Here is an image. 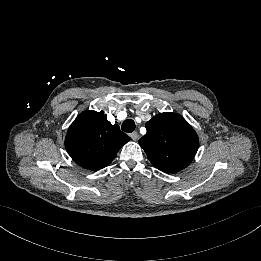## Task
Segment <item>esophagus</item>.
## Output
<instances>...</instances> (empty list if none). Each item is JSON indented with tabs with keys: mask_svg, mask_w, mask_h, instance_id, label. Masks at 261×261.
<instances>
[{
	"mask_svg": "<svg viewBox=\"0 0 261 261\" xmlns=\"http://www.w3.org/2000/svg\"><path fill=\"white\" fill-rule=\"evenodd\" d=\"M130 137H131V139H133V140H138V139H139V134H138L137 132H132V133L130 134Z\"/></svg>",
	"mask_w": 261,
	"mask_h": 261,
	"instance_id": "1",
	"label": "esophagus"
}]
</instances>
